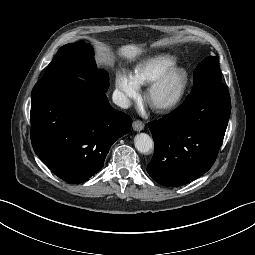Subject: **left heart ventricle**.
I'll return each instance as SVG.
<instances>
[{
    "label": "left heart ventricle",
    "instance_id": "b2bd125f",
    "mask_svg": "<svg viewBox=\"0 0 255 255\" xmlns=\"http://www.w3.org/2000/svg\"><path fill=\"white\" fill-rule=\"evenodd\" d=\"M179 78L178 77H172L166 85L159 90L152 98L153 102H160L167 98L170 94L174 92V90L177 88L179 84Z\"/></svg>",
    "mask_w": 255,
    "mask_h": 255
}]
</instances>
